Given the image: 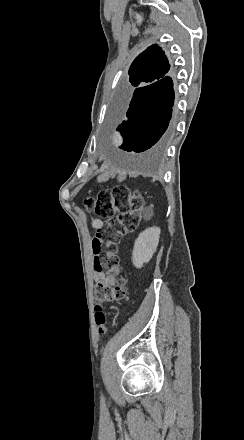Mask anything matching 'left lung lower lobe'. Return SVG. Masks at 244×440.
<instances>
[{"instance_id": "left-lung-lower-lobe-1", "label": "left lung lower lobe", "mask_w": 244, "mask_h": 440, "mask_svg": "<svg viewBox=\"0 0 244 440\" xmlns=\"http://www.w3.org/2000/svg\"><path fill=\"white\" fill-rule=\"evenodd\" d=\"M173 103V82L168 74L152 84L123 92L116 108V118L122 121L117 128L123 136L120 148L128 152L161 149L169 137Z\"/></svg>"}]
</instances>
